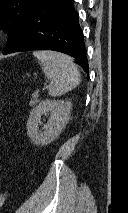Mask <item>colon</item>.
Segmentation results:
<instances>
[{"label":"colon","mask_w":128,"mask_h":213,"mask_svg":"<svg viewBox=\"0 0 128 213\" xmlns=\"http://www.w3.org/2000/svg\"><path fill=\"white\" fill-rule=\"evenodd\" d=\"M6 195L5 194H0V205L3 203V201L5 200Z\"/></svg>","instance_id":"5ec220e1"}]
</instances>
